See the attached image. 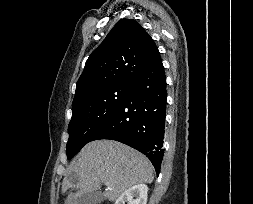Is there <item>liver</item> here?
<instances>
[{"label":"liver","mask_w":253,"mask_h":204,"mask_svg":"<svg viewBox=\"0 0 253 204\" xmlns=\"http://www.w3.org/2000/svg\"><path fill=\"white\" fill-rule=\"evenodd\" d=\"M154 169L143 154L112 140H98L85 145L71 162L62 182V192L71 191L65 204H79L83 194L107 186L104 196L115 201L136 184L151 183Z\"/></svg>","instance_id":"6515ba94"}]
</instances>
